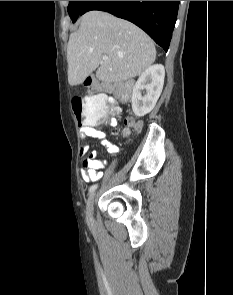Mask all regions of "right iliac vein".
Segmentation results:
<instances>
[{
    "instance_id": "right-iliac-vein-1",
    "label": "right iliac vein",
    "mask_w": 233,
    "mask_h": 295,
    "mask_svg": "<svg viewBox=\"0 0 233 295\" xmlns=\"http://www.w3.org/2000/svg\"><path fill=\"white\" fill-rule=\"evenodd\" d=\"M94 199H95V192H92L90 196L88 197L87 204H86V211L89 216L93 212Z\"/></svg>"
}]
</instances>
